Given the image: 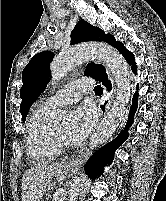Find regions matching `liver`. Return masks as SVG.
Segmentation results:
<instances>
[{"label":"liver","instance_id":"liver-1","mask_svg":"<svg viewBox=\"0 0 166 201\" xmlns=\"http://www.w3.org/2000/svg\"><path fill=\"white\" fill-rule=\"evenodd\" d=\"M69 168L64 163L37 164L26 170L22 177V201H42L44 191L54 176Z\"/></svg>","mask_w":166,"mask_h":201}]
</instances>
